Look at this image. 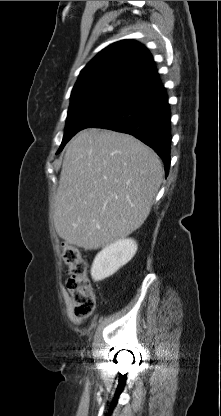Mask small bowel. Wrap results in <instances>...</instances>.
<instances>
[{
  "mask_svg": "<svg viewBox=\"0 0 221 416\" xmlns=\"http://www.w3.org/2000/svg\"><path fill=\"white\" fill-rule=\"evenodd\" d=\"M62 297H63L64 302H65L67 316L70 318V320L72 322L81 323L84 320V318L77 317V316L74 315V313L72 311V304H71L70 296H69L68 292L65 289L62 290Z\"/></svg>",
  "mask_w": 221,
  "mask_h": 416,
  "instance_id": "obj_1",
  "label": "small bowel"
}]
</instances>
